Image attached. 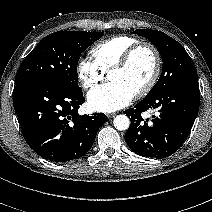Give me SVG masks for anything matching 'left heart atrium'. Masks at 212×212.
<instances>
[{
  "label": "left heart atrium",
  "mask_w": 212,
  "mask_h": 212,
  "mask_svg": "<svg viewBox=\"0 0 212 212\" xmlns=\"http://www.w3.org/2000/svg\"><path fill=\"white\" fill-rule=\"evenodd\" d=\"M134 96L126 86L110 81L93 88L87 95V104L94 111L114 112L130 104Z\"/></svg>",
  "instance_id": "1"
}]
</instances>
